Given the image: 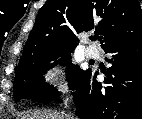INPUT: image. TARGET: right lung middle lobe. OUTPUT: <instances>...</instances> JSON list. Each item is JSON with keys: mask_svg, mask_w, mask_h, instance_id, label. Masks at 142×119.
<instances>
[{"mask_svg": "<svg viewBox=\"0 0 142 119\" xmlns=\"http://www.w3.org/2000/svg\"><path fill=\"white\" fill-rule=\"evenodd\" d=\"M71 52L73 50L47 54L24 67L18 68L13 84L14 97L18 100L33 99L45 104L52 101H60L58 99L60 93L52 86L45 84L43 78L45 72L58 62L69 66L66 69L67 80L69 88L75 90L80 79L86 72L71 63ZM59 57L61 58L58 61H55V63L49 66L51 61L57 60Z\"/></svg>", "mask_w": 142, "mask_h": 119, "instance_id": "dd1d6c3e", "label": "right lung middle lobe"}]
</instances>
